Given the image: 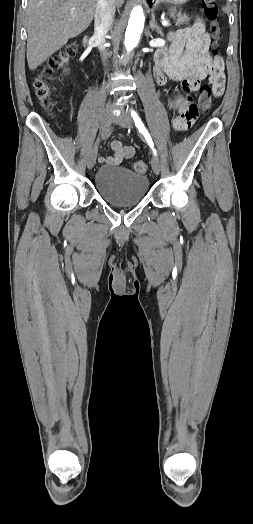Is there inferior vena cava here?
Here are the masks:
<instances>
[{"label": "inferior vena cava", "mask_w": 253, "mask_h": 524, "mask_svg": "<svg viewBox=\"0 0 253 524\" xmlns=\"http://www.w3.org/2000/svg\"><path fill=\"white\" fill-rule=\"evenodd\" d=\"M115 14V0H97L94 20V38L98 41L103 61L107 59V53L103 46L104 36L113 23Z\"/></svg>", "instance_id": "1"}]
</instances>
